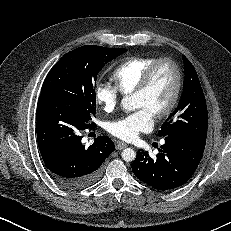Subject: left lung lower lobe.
<instances>
[{
    "label": "left lung lower lobe",
    "instance_id": "0a47b994",
    "mask_svg": "<svg viewBox=\"0 0 231 231\" xmlns=\"http://www.w3.org/2000/svg\"><path fill=\"white\" fill-rule=\"evenodd\" d=\"M156 157L139 151L132 163L137 178L154 189L165 191L180 187L195 172L203 156L206 139L166 136Z\"/></svg>",
    "mask_w": 231,
    "mask_h": 231
}]
</instances>
